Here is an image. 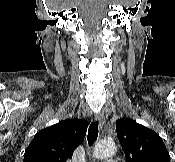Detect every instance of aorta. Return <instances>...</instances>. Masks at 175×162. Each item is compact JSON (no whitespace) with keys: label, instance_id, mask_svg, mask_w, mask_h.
<instances>
[{"label":"aorta","instance_id":"1","mask_svg":"<svg viewBox=\"0 0 175 162\" xmlns=\"http://www.w3.org/2000/svg\"><path fill=\"white\" fill-rule=\"evenodd\" d=\"M116 152V145L111 140H102L95 144L93 156L96 158L109 157Z\"/></svg>","mask_w":175,"mask_h":162}]
</instances>
